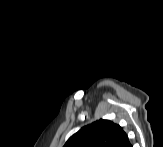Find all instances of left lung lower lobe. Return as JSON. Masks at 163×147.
<instances>
[{"mask_svg": "<svg viewBox=\"0 0 163 147\" xmlns=\"http://www.w3.org/2000/svg\"><path fill=\"white\" fill-rule=\"evenodd\" d=\"M116 147H132L131 144L129 143L126 133L122 135Z\"/></svg>", "mask_w": 163, "mask_h": 147, "instance_id": "obj_1", "label": "left lung lower lobe"}]
</instances>
